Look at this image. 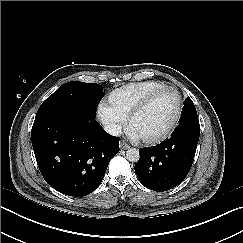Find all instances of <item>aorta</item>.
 I'll list each match as a JSON object with an SVG mask.
<instances>
[{"instance_id": "1", "label": "aorta", "mask_w": 243, "mask_h": 243, "mask_svg": "<svg viewBox=\"0 0 243 243\" xmlns=\"http://www.w3.org/2000/svg\"><path fill=\"white\" fill-rule=\"evenodd\" d=\"M126 158L130 162H137L140 158L139 150L136 148H130L126 151Z\"/></svg>"}]
</instances>
